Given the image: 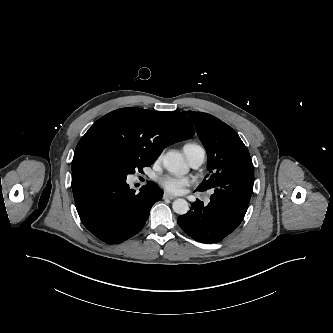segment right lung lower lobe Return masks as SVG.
I'll return each mask as SVG.
<instances>
[{
	"label": "right lung lower lobe",
	"instance_id": "1",
	"mask_svg": "<svg viewBox=\"0 0 333 333\" xmlns=\"http://www.w3.org/2000/svg\"><path fill=\"white\" fill-rule=\"evenodd\" d=\"M72 190L84 226L110 244L123 242L138 233L153 204L162 196L156 184L145 185L135 194L126 179L109 176L86 165L72 170Z\"/></svg>",
	"mask_w": 333,
	"mask_h": 333
}]
</instances>
